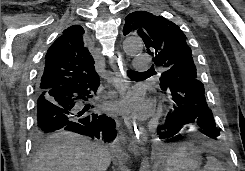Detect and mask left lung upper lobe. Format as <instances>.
<instances>
[{"label": "left lung upper lobe", "instance_id": "1", "mask_svg": "<svg viewBox=\"0 0 245 171\" xmlns=\"http://www.w3.org/2000/svg\"><path fill=\"white\" fill-rule=\"evenodd\" d=\"M125 21L123 34L136 31L154 64L166 68L160 77L162 90L181 77L199 79L187 38L175 23L144 11L128 14Z\"/></svg>", "mask_w": 245, "mask_h": 171}]
</instances>
